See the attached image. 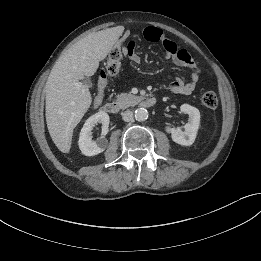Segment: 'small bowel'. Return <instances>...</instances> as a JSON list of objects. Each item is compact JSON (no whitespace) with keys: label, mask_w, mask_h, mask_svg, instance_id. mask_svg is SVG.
I'll use <instances>...</instances> for the list:
<instances>
[{"label":"small bowel","mask_w":261,"mask_h":261,"mask_svg":"<svg viewBox=\"0 0 261 261\" xmlns=\"http://www.w3.org/2000/svg\"><path fill=\"white\" fill-rule=\"evenodd\" d=\"M143 37L147 41L162 42L165 53L164 56L167 59H171L176 67H184L192 71L189 81H184L179 77L174 78L169 86V90L173 93L180 95H190L195 89L199 80V69L194 62L189 52L185 49H181L177 44L166 38L163 32L156 27H147L143 30ZM135 43L130 42L123 48L125 54L135 57L134 53ZM104 99V92H98L94 98V105L98 106Z\"/></svg>","instance_id":"c3829d8e"}]
</instances>
